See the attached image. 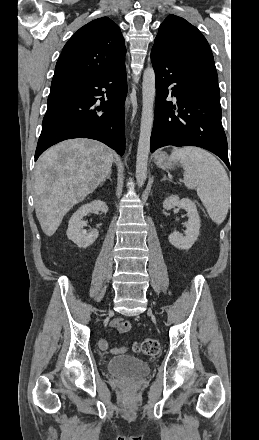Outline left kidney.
I'll list each match as a JSON object with an SVG mask.
<instances>
[{"label":"left kidney","instance_id":"1","mask_svg":"<svg viewBox=\"0 0 259 440\" xmlns=\"http://www.w3.org/2000/svg\"><path fill=\"white\" fill-rule=\"evenodd\" d=\"M175 206L184 209L187 212L188 222L185 224L186 231L183 236L179 232L171 233L168 237L169 242L176 248L188 250L192 247L199 236L200 217L195 203L188 199H180L178 195H171L163 202L165 210H171Z\"/></svg>","mask_w":259,"mask_h":440}]
</instances>
